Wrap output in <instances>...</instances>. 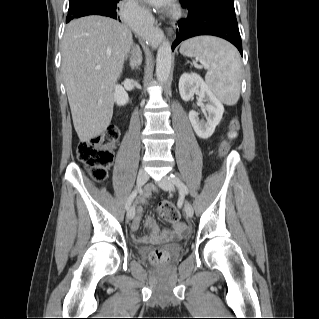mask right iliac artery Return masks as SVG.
Instances as JSON below:
<instances>
[{
    "instance_id": "right-iliac-artery-1",
    "label": "right iliac artery",
    "mask_w": 319,
    "mask_h": 319,
    "mask_svg": "<svg viewBox=\"0 0 319 319\" xmlns=\"http://www.w3.org/2000/svg\"><path fill=\"white\" fill-rule=\"evenodd\" d=\"M139 192V188L138 189H135L131 195L129 196L127 202H126V209L128 210L131 206V203L133 202V200L136 198L137 194Z\"/></svg>"
}]
</instances>
